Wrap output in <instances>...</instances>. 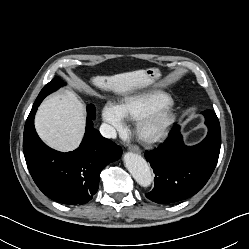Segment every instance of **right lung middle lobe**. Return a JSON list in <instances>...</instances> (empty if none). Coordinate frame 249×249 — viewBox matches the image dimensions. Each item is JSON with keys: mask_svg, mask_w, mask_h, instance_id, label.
Wrapping results in <instances>:
<instances>
[{"mask_svg": "<svg viewBox=\"0 0 249 249\" xmlns=\"http://www.w3.org/2000/svg\"><path fill=\"white\" fill-rule=\"evenodd\" d=\"M62 85H64V83H62V81L59 77L52 79L48 84H46L44 86V88L41 90V92L37 98L44 99L47 95L56 91ZM95 113H96V109H95L94 105L89 104L87 106V116L94 120L96 117Z\"/></svg>", "mask_w": 249, "mask_h": 249, "instance_id": "dd1d6c3e", "label": "right lung middle lobe"}]
</instances>
